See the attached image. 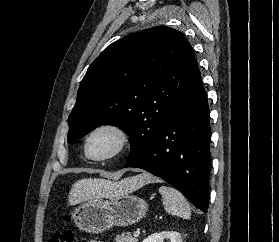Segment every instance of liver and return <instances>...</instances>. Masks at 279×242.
Here are the masks:
<instances>
[{
	"label": "liver",
	"instance_id": "6515ba94",
	"mask_svg": "<svg viewBox=\"0 0 279 242\" xmlns=\"http://www.w3.org/2000/svg\"><path fill=\"white\" fill-rule=\"evenodd\" d=\"M155 179L142 174L137 177L128 178L119 184L112 183L104 179H81L72 185L68 201L70 205H75L91 198L106 197L111 194L119 185L128 192L139 189L143 185L153 182Z\"/></svg>",
	"mask_w": 279,
	"mask_h": 242
}]
</instances>
